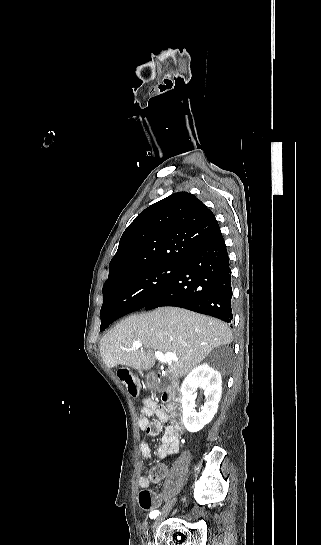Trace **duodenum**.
I'll return each instance as SVG.
<instances>
[{
    "label": "duodenum",
    "instance_id": "duodenum-1",
    "mask_svg": "<svg viewBox=\"0 0 321 545\" xmlns=\"http://www.w3.org/2000/svg\"><path fill=\"white\" fill-rule=\"evenodd\" d=\"M148 384L155 390L159 391L162 400L168 403H178L181 395L179 387L168 377L160 373H150L148 375Z\"/></svg>",
    "mask_w": 321,
    "mask_h": 545
}]
</instances>
